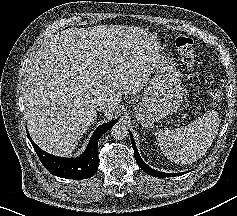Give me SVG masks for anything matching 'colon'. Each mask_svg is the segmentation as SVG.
<instances>
[{
    "label": "colon",
    "mask_w": 237,
    "mask_h": 216,
    "mask_svg": "<svg viewBox=\"0 0 237 216\" xmlns=\"http://www.w3.org/2000/svg\"><path fill=\"white\" fill-rule=\"evenodd\" d=\"M175 47L186 65H192L195 59V43L186 36H178L175 39ZM216 98L221 97V92L217 89L214 93Z\"/></svg>",
    "instance_id": "obj_1"
}]
</instances>
